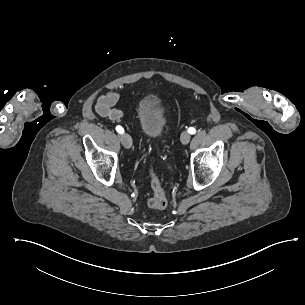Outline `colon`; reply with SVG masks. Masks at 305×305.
<instances>
[{
    "mask_svg": "<svg viewBox=\"0 0 305 305\" xmlns=\"http://www.w3.org/2000/svg\"><path fill=\"white\" fill-rule=\"evenodd\" d=\"M151 181L152 196L148 198L147 203L152 209H164L168 204V198L163 190L161 181L153 168L149 171Z\"/></svg>",
    "mask_w": 305,
    "mask_h": 305,
    "instance_id": "1",
    "label": "colon"
}]
</instances>
